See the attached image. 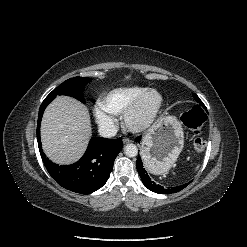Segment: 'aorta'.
Segmentation results:
<instances>
[{
  "label": "aorta",
  "mask_w": 247,
  "mask_h": 247,
  "mask_svg": "<svg viewBox=\"0 0 247 247\" xmlns=\"http://www.w3.org/2000/svg\"><path fill=\"white\" fill-rule=\"evenodd\" d=\"M124 153L127 157H135L138 154V148L135 144H127L124 148Z\"/></svg>",
  "instance_id": "762f6f07"
}]
</instances>
